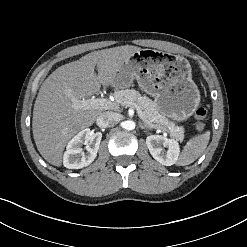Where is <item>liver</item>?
<instances>
[{"instance_id":"1","label":"liver","mask_w":247,"mask_h":247,"mask_svg":"<svg viewBox=\"0 0 247 247\" xmlns=\"http://www.w3.org/2000/svg\"><path fill=\"white\" fill-rule=\"evenodd\" d=\"M140 50V47L125 45L91 52L60 66L42 83L34 104L32 131L37 149L47 162L61 166L68 141L93 125L104 112L76 108L73 100L97 93L101 85L113 86L119 68Z\"/></svg>"}]
</instances>
